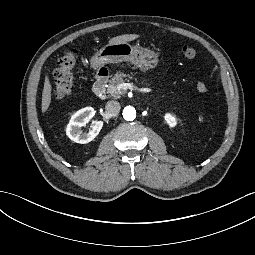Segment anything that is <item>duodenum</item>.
<instances>
[{"mask_svg": "<svg viewBox=\"0 0 255 255\" xmlns=\"http://www.w3.org/2000/svg\"><path fill=\"white\" fill-rule=\"evenodd\" d=\"M108 75V71L105 68H101L96 72L93 91L100 99H104L106 96Z\"/></svg>", "mask_w": 255, "mask_h": 255, "instance_id": "duodenum-1", "label": "duodenum"}]
</instances>
